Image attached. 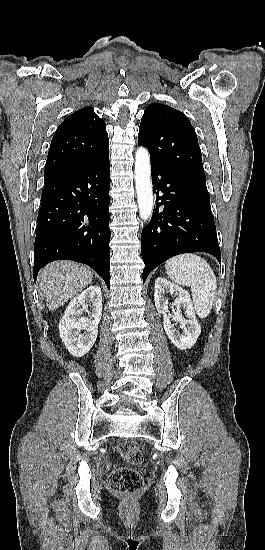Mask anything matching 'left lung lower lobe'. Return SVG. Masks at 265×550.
I'll list each match as a JSON object with an SVG mask.
<instances>
[{
  "instance_id": "left-lung-lower-lobe-1",
  "label": "left lung lower lobe",
  "mask_w": 265,
  "mask_h": 550,
  "mask_svg": "<svg viewBox=\"0 0 265 550\" xmlns=\"http://www.w3.org/2000/svg\"><path fill=\"white\" fill-rule=\"evenodd\" d=\"M151 173L156 208L141 234L143 283L154 268L178 254L207 252L221 263L208 191L153 160Z\"/></svg>"
}]
</instances>
